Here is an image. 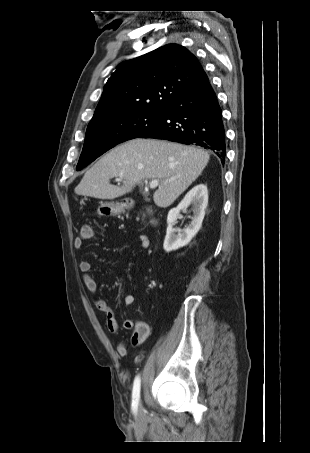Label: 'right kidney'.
<instances>
[{"mask_svg": "<svg viewBox=\"0 0 310 453\" xmlns=\"http://www.w3.org/2000/svg\"><path fill=\"white\" fill-rule=\"evenodd\" d=\"M193 206V218L191 223L182 232H178L173 225L180 211ZM208 205V190L204 184L194 186L183 198L176 208L169 211L167 216V231L164 240V250L171 252L186 246L200 230L205 216V209Z\"/></svg>", "mask_w": 310, "mask_h": 453, "instance_id": "ca27d5eb", "label": "right kidney"}]
</instances>
